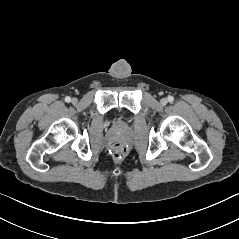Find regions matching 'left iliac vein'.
<instances>
[{
    "label": "left iliac vein",
    "mask_w": 239,
    "mask_h": 239,
    "mask_svg": "<svg viewBox=\"0 0 239 239\" xmlns=\"http://www.w3.org/2000/svg\"><path fill=\"white\" fill-rule=\"evenodd\" d=\"M160 102H161V104L165 105L167 103V99L166 98H162Z\"/></svg>",
    "instance_id": "1"
}]
</instances>
